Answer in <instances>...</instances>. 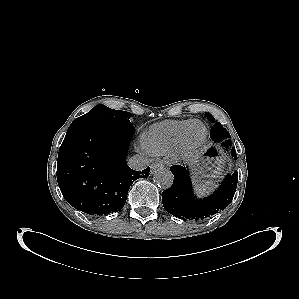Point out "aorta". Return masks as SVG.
I'll return each instance as SVG.
<instances>
[{"label":"aorta","mask_w":299,"mask_h":299,"mask_svg":"<svg viewBox=\"0 0 299 299\" xmlns=\"http://www.w3.org/2000/svg\"><path fill=\"white\" fill-rule=\"evenodd\" d=\"M153 178L160 187L167 189L173 184L174 175L170 170L161 168L155 172Z\"/></svg>","instance_id":"aorta-1"}]
</instances>
